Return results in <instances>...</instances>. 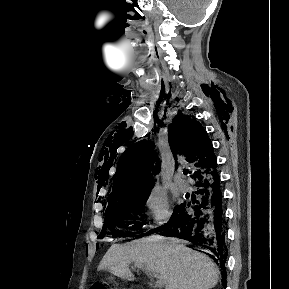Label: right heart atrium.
Masks as SVG:
<instances>
[{
  "mask_svg": "<svg viewBox=\"0 0 289 289\" xmlns=\"http://www.w3.org/2000/svg\"><path fill=\"white\" fill-rule=\"evenodd\" d=\"M144 206L151 221V228L164 225L171 216L168 197L160 188H153L147 194Z\"/></svg>",
  "mask_w": 289,
  "mask_h": 289,
  "instance_id": "obj_1",
  "label": "right heart atrium"
}]
</instances>
